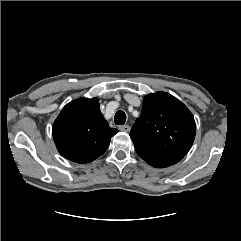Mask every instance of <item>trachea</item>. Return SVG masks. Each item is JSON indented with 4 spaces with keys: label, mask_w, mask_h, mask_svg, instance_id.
<instances>
[{
    "label": "trachea",
    "mask_w": 241,
    "mask_h": 241,
    "mask_svg": "<svg viewBox=\"0 0 241 241\" xmlns=\"http://www.w3.org/2000/svg\"><path fill=\"white\" fill-rule=\"evenodd\" d=\"M114 122L116 125H124L126 122V114L122 110L117 111L114 117Z\"/></svg>",
    "instance_id": "trachea-1"
}]
</instances>
